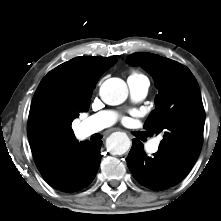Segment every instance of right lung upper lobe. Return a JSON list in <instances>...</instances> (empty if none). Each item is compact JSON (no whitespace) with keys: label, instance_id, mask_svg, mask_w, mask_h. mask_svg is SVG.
<instances>
[{"label":"right lung upper lobe","instance_id":"right-lung-upper-lobe-1","mask_svg":"<svg viewBox=\"0 0 221 221\" xmlns=\"http://www.w3.org/2000/svg\"><path fill=\"white\" fill-rule=\"evenodd\" d=\"M116 57H77L50 71L39 84L27 134L40 173L57 165L79 142L71 128L88 111L93 89Z\"/></svg>","mask_w":221,"mask_h":221}]
</instances>
